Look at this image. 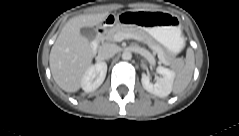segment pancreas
Returning <instances> with one entry per match:
<instances>
[{"instance_id":"obj_1","label":"pancreas","mask_w":239,"mask_h":136,"mask_svg":"<svg viewBox=\"0 0 239 136\" xmlns=\"http://www.w3.org/2000/svg\"><path fill=\"white\" fill-rule=\"evenodd\" d=\"M117 33H127V34H132L134 36H137L138 38H141L144 42H146L150 48L157 51L161 56L164 55L162 47L138 27L117 24L116 26L111 28L102 37V39L108 42H114L115 41L114 36ZM165 64L170 65V62L166 61Z\"/></svg>"}]
</instances>
